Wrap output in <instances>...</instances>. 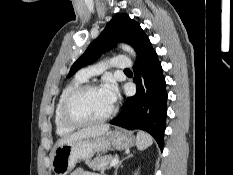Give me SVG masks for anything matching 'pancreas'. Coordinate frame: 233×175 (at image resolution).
Listing matches in <instances>:
<instances>
[{
	"instance_id": "pancreas-1",
	"label": "pancreas",
	"mask_w": 233,
	"mask_h": 175,
	"mask_svg": "<svg viewBox=\"0 0 233 175\" xmlns=\"http://www.w3.org/2000/svg\"><path fill=\"white\" fill-rule=\"evenodd\" d=\"M115 157L111 155H106V156H99L94 158L93 160H87L86 165L89 166V168L93 170H101L104 171L108 167V164L114 159Z\"/></svg>"
}]
</instances>
